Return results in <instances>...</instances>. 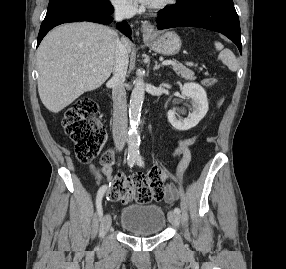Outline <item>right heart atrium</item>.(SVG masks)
<instances>
[{
	"label": "right heart atrium",
	"mask_w": 286,
	"mask_h": 269,
	"mask_svg": "<svg viewBox=\"0 0 286 269\" xmlns=\"http://www.w3.org/2000/svg\"><path fill=\"white\" fill-rule=\"evenodd\" d=\"M114 8L124 14H132L135 11V6L132 0H110Z\"/></svg>",
	"instance_id": "right-heart-atrium-1"
}]
</instances>
